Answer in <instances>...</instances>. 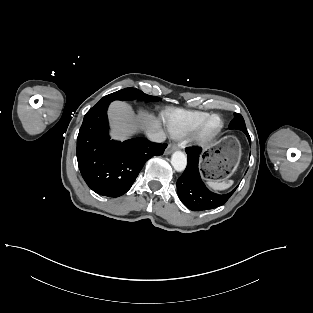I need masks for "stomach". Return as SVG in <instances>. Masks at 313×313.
Wrapping results in <instances>:
<instances>
[{"instance_id":"obj_1","label":"stomach","mask_w":313,"mask_h":313,"mask_svg":"<svg viewBox=\"0 0 313 313\" xmlns=\"http://www.w3.org/2000/svg\"><path fill=\"white\" fill-rule=\"evenodd\" d=\"M241 157L240 143L236 137L227 136L202 154V168L213 181L228 179L236 170Z\"/></svg>"}]
</instances>
